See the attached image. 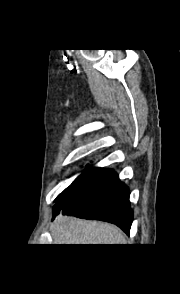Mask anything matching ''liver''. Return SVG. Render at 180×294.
I'll list each match as a JSON object with an SVG mask.
<instances>
[{
    "label": "liver",
    "instance_id": "6515ba94",
    "mask_svg": "<svg viewBox=\"0 0 180 294\" xmlns=\"http://www.w3.org/2000/svg\"><path fill=\"white\" fill-rule=\"evenodd\" d=\"M54 244H125V236L114 225L58 216L50 226Z\"/></svg>",
    "mask_w": 180,
    "mask_h": 294
}]
</instances>
